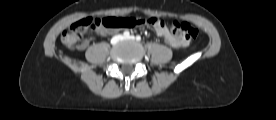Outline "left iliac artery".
<instances>
[{"mask_svg":"<svg viewBox=\"0 0 276 120\" xmlns=\"http://www.w3.org/2000/svg\"><path fill=\"white\" fill-rule=\"evenodd\" d=\"M136 40H137V41H140V40H141V36L137 35V36H136Z\"/></svg>","mask_w":276,"mask_h":120,"instance_id":"44dca946","label":"left iliac artery"}]
</instances>
